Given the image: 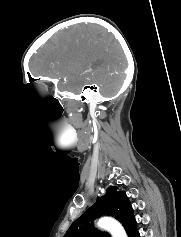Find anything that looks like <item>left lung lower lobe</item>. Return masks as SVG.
<instances>
[{
  "label": "left lung lower lobe",
  "mask_w": 181,
  "mask_h": 237,
  "mask_svg": "<svg viewBox=\"0 0 181 237\" xmlns=\"http://www.w3.org/2000/svg\"><path fill=\"white\" fill-rule=\"evenodd\" d=\"M134 237H140L139 233H137Z\"/></svg>",
  "instance_id": "obj_1"
}]
</instances>
